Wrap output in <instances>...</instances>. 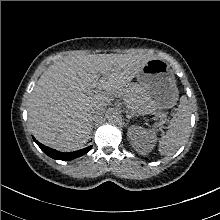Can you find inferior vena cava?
Wrapping results in <instances>:
<instances>
[{
    "label": "inferior vena cava",
    "instance_id": "602c4592",
    "mask_svg": "<svg viewBox=\"0 0 220 220\" xmlns=\"http://www.w3.org/2000/svg\"><path fill=\"white\" fill-rule=\"evenodd\" d=\"M104 112H105L104 107H97V108L93 109L90 112V120L96 121V120L101 119L103 117Z\"/></svg>",
    "mask_w": 220,
    "mask_h": 220
}]
</instances>
